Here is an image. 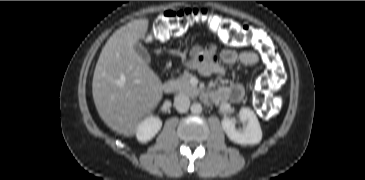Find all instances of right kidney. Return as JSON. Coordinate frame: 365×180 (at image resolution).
Wrapping results in <instances>:
<instances>
[{
  "label": "right kidney",
  "mask_w": 365,
  "mask_h": 180,
  "mask_svg": "<svg viewBox=\"0 0 365 180\" xmlns=\"http://www.w3.org/2000/svg\"><path fill=\"white\" fill-rule=\"evenodd\" d=\"M161 126L162 121L158 117H147L137 126V139L142 143L150 141L161 129Z\"/></svg>",
  "instance_id": "obj_1"
}]
</instances>
